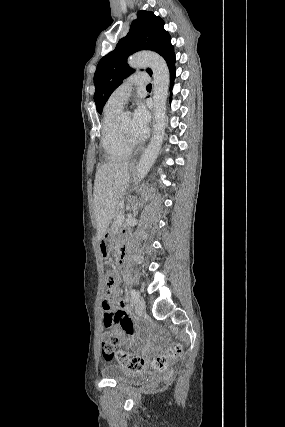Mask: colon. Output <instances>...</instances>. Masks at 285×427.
Returning <instances> with one entry per match:
<instances>
[{
	"instance_id": "obj_1",
	"label": "colon",
	"mask_w": 285,
	"mask_h": 427,
	"mask_svg": "<svg viewBox=\"0 0 285 427\" xmlns=\"http://www.w3.org/2000/svg\"><path fill=\"white\" fill-rule=\"evenodd\" d=\"M106 290L104 298L111 296L113 292L115 277L113 272L107 271L105 274ZM121 314L118 315L120 317ZM122 342L121 326L115 323L109 330L105 331L102 340V354L107 361L116 359L122 366L131 370H142L149 364L152 370L165 373L169 370L171 364L182 354L181 343H175L167 347L161 354L153 360L144 357L124 353L119 350Z\"/></svg>"
}]
</instances>
